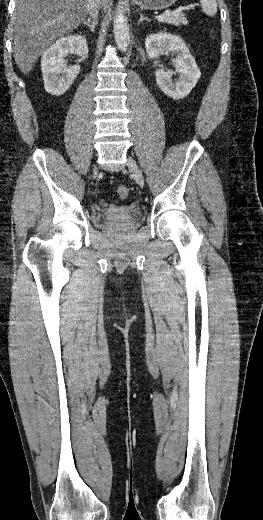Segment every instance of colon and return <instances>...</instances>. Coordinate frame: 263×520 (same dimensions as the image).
I'll list each match as a JSON object with an SVG mask.
<instances>
[{"label": "colon", "instance_id": "1", "mask_svg": "<svg viewBox=\"0 0 263 520\" xmlns=\"http://www.w3.org/2000/svg\"><path fill=\"white\" fill-rule=\"evenodd\" d=\"M117 195L120 199H126L129 195V189L126 186H119L117 189Z\"/></svg>", "mask_w": 263, "mask_h": 520}]
</instances>
